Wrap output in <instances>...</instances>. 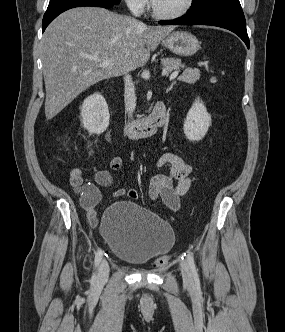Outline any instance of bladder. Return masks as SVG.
Listing matches in <instances>:
<instances>
[{
  "label": "bladder",
  "instance_id": "31cf9c89",
  "mask_svg": "<svg viewBox=\"0 0 285 332\" xmlns=\"http://www.w3.org/2000/svg\"><path fill=\"white\" fill-rule=\"evenodd\" d=\"M100 231L112 255L133 265L166 253L174 243V232L166 221L130 201L110 204Z\"/></svg>",
  "mask_w": 285,
  "mask_h": 332
}]
</instances>
